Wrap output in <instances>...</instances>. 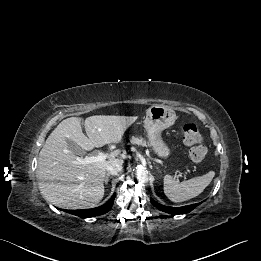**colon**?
Returning <instances> with one entry per match:
<instances>
[{
	"label": "colon",
	"mask_w": 261,
	"mask_h": 261,
	"mask_svg": "<svg viewBox=\"0 0 261 261\" xmlns=\"http://www.w3.org/2000/svg\"><path fill=\"white\" fill-rule=\"evenodd\" d=\"M183 138L190 146V159L194 163H201L206 157V147L203 144V137L194 123H187L183 126Z\"/></svg>",
	"instance_id": "obj_1"
}]
</instances>
